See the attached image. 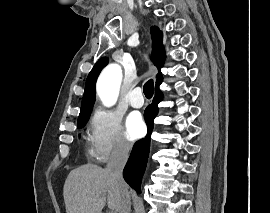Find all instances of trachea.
Returning <instances> with one entry per match:
<instances>
[{"mask_svg": "<svg viewBox=\"0 0 270 213\" xmlns=\"http://www.w3.org/2000/svg\"><path fill=\"white\" fill-rule=\"evenodd\" d=\"M143 91H144L146 98H148V99L152 98L153 93H154V84H153L152 79L145 83Z\"/></svg>", "mask_w": 270, "mask_h": 213, "instance_id": "3493384b", "label": "trachea"}]
</instances>
